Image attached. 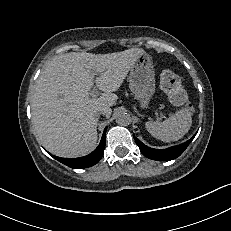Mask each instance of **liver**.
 Here are the masks:
<instances>
[{"label":"liver","instance_id":"obj_1","mask_svg":"<svg viewBox=\"0 0 231 231\" xmlns=\"http://www.w3.org/2000/svg\"><path fill=\"white\" fill-rule=\"evenodd\" d=\"M145 51L130 48L121 52L92 54L70 52L53 58L41 71L31 99L36 137L52 154L79 157L97 144L95 111L104 109L109 118L117 91L136 60ZM95 83L103 93L91 98Z\"/></svg>","mask_w":231,"mask_h":231}]
</instances>
